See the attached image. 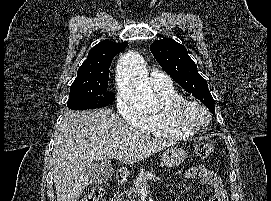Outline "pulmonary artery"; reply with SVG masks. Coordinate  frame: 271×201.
Here are the masks:
<instances>
[{"mask_svg":"<svg viewBox=\"0 0 271 201\" xmlns=\"http://www.w3.org/2000/svg\"><path fill=\"white\" fill-rule=\"evenodd\" d=\"M150 83L154 88L171 86V79L160 71H153L150 74Z\"/></svg>","mask_w":271,"mask_h":201,"instance_id":"e3ab8cb5","label":"pulmonary artery"}]
</instances>
